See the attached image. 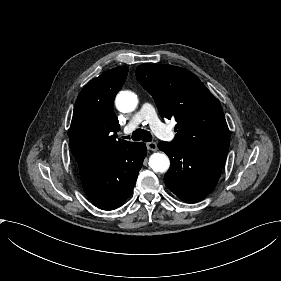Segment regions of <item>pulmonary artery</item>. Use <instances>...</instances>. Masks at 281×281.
<instances>
[{
    "label": "pulmonary artery",
    "instance_id": "pulmonary-artery-1",
    "mask_svg": "<svg viewBox=\"0 0 281 281\" xmlns=\"http://www.w3.org/2000/svg\"><path fill=\"white\" fill-rule=\"evenodd\" d=\"M144 120L149 123L151 128H153L155 125L162 124L156 114L154 107L149 102H145L140 110L131 118L129 124L127 127H125L124 132L133 130Z\"/></svg>",
    "mask_w": 281,
    "mask_h": 281
}]
</instances>
